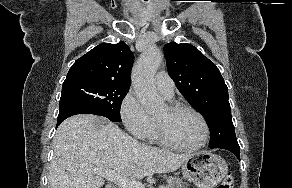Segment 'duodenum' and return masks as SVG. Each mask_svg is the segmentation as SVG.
<instances>
[{"mask_svg":"<svg viewBox=\"0 0 292 188\" xmlns=\"http://www.w3.org/2000/svg\"><path fill=\"white\" fill-rule=\"evenodd\" d=\"M105 188H114L113 186H106Z\"/></svg>","mask_w":292,"mask_h":188,"instance_id":"duodenum-1","label":"duodenum"}]
</instances>
